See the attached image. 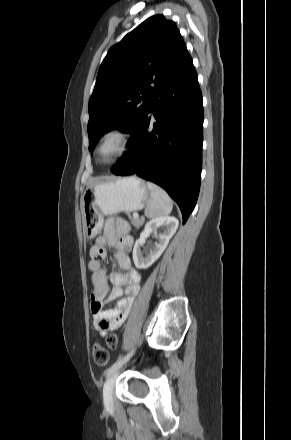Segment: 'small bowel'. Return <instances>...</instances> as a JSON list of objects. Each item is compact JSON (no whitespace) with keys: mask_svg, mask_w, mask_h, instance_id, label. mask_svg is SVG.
Returning a JSON list of instances; mask_svg holds the SVG:
<instances>
[{"mask_svg":"<svg viewBox=\"0 0 291 440\" xmlns=\"http://www.w3.org/2000/svg\"><path fill=\"white\" fill-rule=\"evenodd\" d=\"M134 239L128 234V227L120 221L109 219L104 224L103 233L89 250L88 268L92 273L91 312L94 327L99 337L105 336L110 330L118 328L128 316L136 295L140 290V275L132 269L129 252ZM106 245L114 249L118 261V270L110 274L114 285L108 295L109 285L102 260L106 257ZM123 296V297H122ZM120 298L116 307L102 309L103 301ZM103 320L109 321L107 325Z\"/></svg>","mask_w":291,"mask_h":440,"instance_id":"small-bowel-1","label":"small bowel"}]
</instances>
